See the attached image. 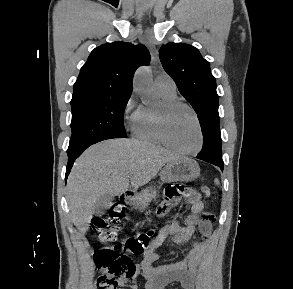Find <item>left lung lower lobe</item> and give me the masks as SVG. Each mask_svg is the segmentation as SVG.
<instances>
[{"label":"left lung lower lobe","mask_w":293,"mask_h":289,"mask_svg":"<svg viewBox=\"0 0 293 289\" xmlns=\"http://www.w3.org/2000/svg\"><path fill=\"white\" fill-rule=\"evenodd\" d=\"M203 147L201 152L197 155V158L214 164L223 171L224 162L223 160L214 161L212 160V155L217 152L222 151V140L220 135V128L209 129L203 132Z\"/></svg>","instance_id":"obj_1"}]
</instances>
